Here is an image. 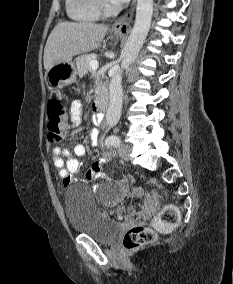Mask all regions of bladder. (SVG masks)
Masks as SVG:
<instances>
[{
  "mask_svg": "<svg viewBox=\"0 0 233 284\" xmlns=\"http://www.w3.org/2000/svg\"><path fill=\"white\" fill-rule=\"evenodd\" d=\"M123 190L118 184L103 186L99 199L111 203L121 199ZM65 214L71 230L108 244L117 236L120 225L98 206L97 196L84 185H73L65 194Z\"/></svg>",
  "mask_w": 233,
  "mask_h": 284,
  "instance_id": "1",
  "label": "bladder"
}]
</instances>
